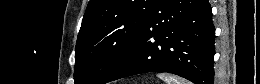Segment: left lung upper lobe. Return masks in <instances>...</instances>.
I'll return each instance as SVG.
<instances>
[{
    "label": "left lung upper lobe",
    "mask_w": 260,
    "mask_h": 84,
    "mask_svg": "<svg viewBox=\"0 0 260 84\" xmlns=\"http://www.w3.org/2000/svg\"><path fill=\"white\" fill-rule=\"evenodd\" d=\"M156 0H90L75 48V84H104L129 54Z\"/></svg>",
    "instance_id": "1"
}]
</instances>
